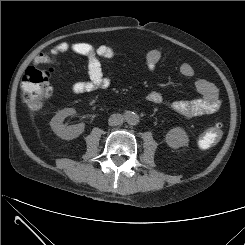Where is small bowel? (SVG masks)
<instances>
[{"instance_id":"c3829d8e","label":"small bowel","mask_w":245,"mask_h":245,"mask_svg":"<svg viewBox=\"0 0 245 245\" xmlns=\"http://www.w3.org/2000/svg\"><path fill=\"white\" fill-rule=\"evenodd\" d=\"M72 53L86 58L89 78L71 86L75 94L85 93L96 89H105L111 85V80L102 71L101 59L114 57V50L107 45L93 46L84 42H60L47 52L40 53L35 58V64L59 65L58 58L61 54ZM162 52L158 49L150 50L145 56V64L149 70H154L160 60ZM180 74L185 78H193L195 71L187 62L179 66ZM195 88L199 94L197 99L176 101L168 104V108L178 115L190 118L203 114H210L219 109L221 99L217 87L210 81L199 78L195 81ZM148 101L161 104L162 96L157 92L148 95Z\"/></svg>"}]
</instances>
